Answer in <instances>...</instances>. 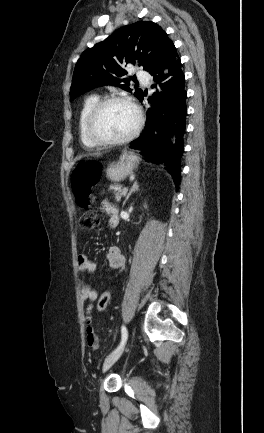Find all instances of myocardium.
<instances>
[{"mask_svg": "<svg viewBox=\"0 0 264 433\" xmlns=\"http://www.w3.org/2000/svg\"><path fill=\"white\" fill-rule=\"evenodd\" d=\"M113 103H124L129 105L136 115V123L133 129L125 136L117 139L102 138L94 131L95 122L101 111ZM143 125V114L139 106L129 97L114 95L100 99L90 110L85 121V132L90 142L95 146H116L125 144L134 139L140 132Z\"/></svg>", "mask_w": 264, "mask_h": 433, "instance_id": "obj_1", "label": "myocardium"}]
</instances>
